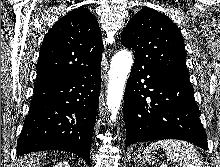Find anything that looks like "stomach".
<instances>
[{
	"mask_svg": "<svg viewBox=\"0 0 220 167\" xmlns=\"http://www.w3.org/2000/svg\"><path fill=\"white\" fill-rule=\"evenodd\" d=\"M154 158V152L150 151V152H146L145 150H137L134 153V160L138 161L140 163H151L153 162Z\"/></svg>",
	"mask_w": 220,
	"mask_h": 167,
	"instance_id": "0dacf381",
	"label": "stomach"
}]
</instances>
